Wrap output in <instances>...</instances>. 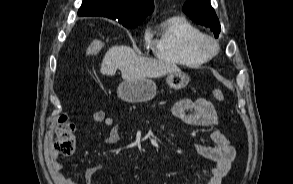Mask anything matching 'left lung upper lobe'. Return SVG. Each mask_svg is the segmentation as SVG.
<instances>
[{
	"label": "left lung upper lobe",
	"instance_id": "1",
	"mask_svg": "<svg viewBox=\"0 0 293 184\" xmlns=\"http://www.w3.org/2000/svg\"><path fill=\"white\" fill-rule=\"evenodd\" d=\"M183 11L195 22L209 27L215 37L220 33V23L210 0H187L183 6Z\"/></svg>",
	"mask_w": 293,
	"mask_h": 184
}]
</instances>
